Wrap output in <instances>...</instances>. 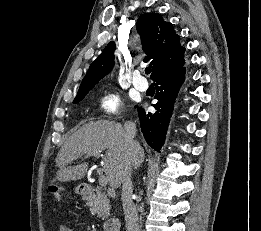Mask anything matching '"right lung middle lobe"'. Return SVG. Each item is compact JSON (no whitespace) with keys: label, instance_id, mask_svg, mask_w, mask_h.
Masks as SVG:
<instances>
[{"label":"right lung middle lobe","instance_id":"right-lung-middle-lobe-1","mask_svg":"<svg viewBox=\"0 0 261 231\" xmlns=\"http://www.w3.org/2000/svg\"><path fill=\"white\" fill-rule=\"evenodd\" d=\"M87 93L88 92L77 94L75 99H74V101H73V103L75 104V103L80 102L86 96Z\"/></svg>","mask_w":261,"mask_h":231}]
</instances>
